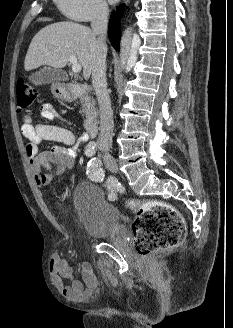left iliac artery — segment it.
Returning <instances> with one entry per match:
<instances>
[{
  "label": "left iliac artery",
  "mask_w": 233,
  "mask_h": 328,
  "mask_svg": "<svg viewBox=\"0 0 233 328\" xmlns=\"http://www.w3.org/2000/svg\"><path fill=\"white\" fill-rule=\"evenodd\" d=\"M87 175L88 177L95 181V182H102L104 179V171L101 168V161L96 159V158H92L89 163H88V167H87Z\"/></svg>",
  "instance_id": "left-iliac-artery-1"
}]
</instances>
